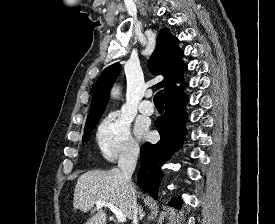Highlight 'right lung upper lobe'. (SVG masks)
<instances>
[{"instance_id": "cb5924a9", "label": "right lung upper lobe", "mask_w": 275, "mask_h": 224, "mask_svg": "<svg viewBox=\"0 0 275 224\" xmlns=\"http://www.w3.org/2000/svg\"><path fill=\"white\" fill-rule=\"evenodd\" d=\"M183 55V51L178 47V39L170 34L168 29H163L159 33L156 49L149 60V67L152 72L164 76V80L156 85L164 88V94L176 87V80L187 70V65L182 61ZM120 70V64L114 63L101 73L94 87L86 124L101 118L109 99L110 88Z\"/></svg>"}]
</instances>
